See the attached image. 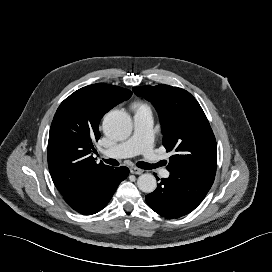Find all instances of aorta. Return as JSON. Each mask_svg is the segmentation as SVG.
<instances>
[{
    "label": "aorta",
    "mask_w": 272,
    "mask_h": 272,
    "mask_svg": "<svg viewBox=\"0 0 272 272\" xmlns=\"http://www.w3.org/2000/svg\"><path fill=\"white\" fill-rule=\"evenodd\" d=\"M104 133L116 140L127 138L132 131V121L130 116L120 110L108 112L103 119ZM137 186L144 193H152L156 187V178L150 173L142 174L138 177Z\"/></svg>",
    "instance_id": "obj_1"
}]
</instances>
